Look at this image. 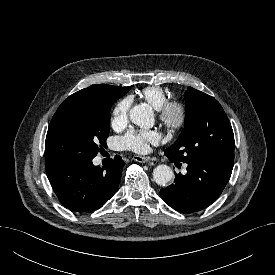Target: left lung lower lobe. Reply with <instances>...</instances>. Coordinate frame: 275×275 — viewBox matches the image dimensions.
<instances>
[{"label": "left lung lower lobe", "mask_w": 275, "mask_h": 275, "mask_svg": "<svg viewBox=\"0 0 275 275\" xmlns=\"http://www.w3.org/2000/svg\"><path fill=\"white\" fill-rule=\"evenodd\" d=\"M187 165L186 175L175 173L174 183L160 190L163 200L181 213L197 212L215 202L233 169V163L205 158L188 162Z\"/></svg>", "instance_id": "0a47b994"}]
</instances>
